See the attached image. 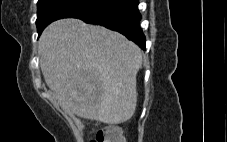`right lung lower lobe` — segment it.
I'll use <instances>...</instances> for the list:
<instances>
[{"mask_svg": "<svg viewBox=\"0 0 227 142\" xmlns=\"http://www.w3.org/2000/svg\"><path fill=\"white\" fill-rule=\"evenodd\" d=\"M138 0H112L109 4L77 17L87 23L118 31L145 49V36L139 26Z\"/></svg>", "mask_w": 227, "mask_h": 142, "instance_id": "98d812e1", "label": "right lung lower lobe"}]
</instances>
